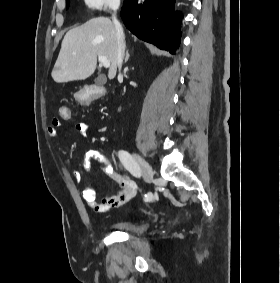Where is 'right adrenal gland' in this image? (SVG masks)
Instances as JSON below:
<instances>
[{
    "label": "right adrenal gland",
    "instance_id": "1",
    "mask_svg": "<svg viewBox=\"0 0 280 283\" xmlns=\"http://www.w3.org/2000/svg\"><path fill=\"white\" fill-rule=\"evenodd\" d=\"M129 57H130L129 51L127 50L126 51V57H125V63L128 61Z\"/></svg>",
    "mask_w": 280,
    "mask_h": 283
}]
</instances>
